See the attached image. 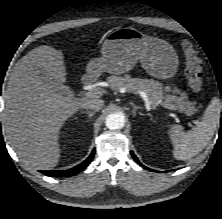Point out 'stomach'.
I'll return each mask as SVG.
<instances>
[{"label": "stomach", "mask_w": 222, "mask_h": 219, "mask_svg": "<svg viewBox=\"0 0 222 219\" xmlns=\"http://www.w3.org/2000/svg\"><path fill=\"white\" fill-rule=\"evenodd\" d=\"M101 54L100 58L92 59L87 64L88 77L96 78L104 71L123 74L133 69L139 61L149 75L169 79L176 74L179 65L172 45L134 28L111 31L103 42Z\"/></svg>", "instance_id": "0dacf381"}]
</instances>
